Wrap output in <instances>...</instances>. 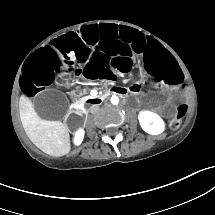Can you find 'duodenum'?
Returning a JSON list of instances; mask_svg holds the SVG:
<instances>
[{"label":"duodenum","mask_w":215,"mask_h":215,"mask_svg":"<svg viewBox=\"0 0 215 215\" xmlns=\"http://www.w3.org/2000/svg\"><path fill=\"white\" fill-rule=\"evenodd\" d=\"M113 95H125L126 97H128L127 93H125L123 88H112V89H109L108 91H106L105 93L95 97V98L87 100V102L91 103V104H100L105 99H107ZM82 103L83 102H81V101H78L77 103H75L73 105V107L71 108V111L73 113H79L81 110Z\"/></svg>","instance_id":"obj_1"}]
</instances>
